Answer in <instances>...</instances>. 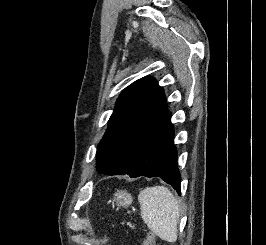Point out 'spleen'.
Segmentation results:
<instances>
[{
	"mask_svg": "<svg viewBox=\"0 0 266 245\" xmlns=\"http://www.w3.org/2000/svg\"><path fill=\"white\" fill-rule=\"evenodd\" d=\"M141 217L148 229L167 243L177 241L179 203L167 187H147L140 191Z\"/></svg>",
	"mask_w": 266,
	"mask_h": 245,
	"instance_id": "3e777b00",
	"label": "spleen"
}]
</instances>
